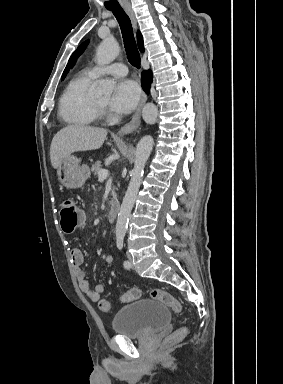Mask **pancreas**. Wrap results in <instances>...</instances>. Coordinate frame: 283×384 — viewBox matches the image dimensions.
<instances>
[{"instance_id":"pancreas-1","label":"pancreas","mask_w":283,"mask_h":384,"mask_svg":"<svg viewBox=\"0 0 283 384\" xmlns=\"http://www.w3.org/2000/svg\"><path fill=\"white\" fill-rule=\"evenodd\" d=\"M100 170H103L101 162H95L91 168V172H93V174L96 176ZM112 196H116L114 190H112Z\"/></svg>"}]
</instances>
